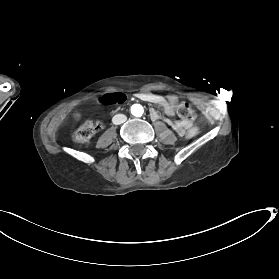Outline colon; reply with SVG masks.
<instances>
[{
  "mask_svg": "<svg viewBox=\"0 0 279 279\" xmlns=\"http://www.w3.org/2000/svg\"><path fill=\"white\" fill-rule=\"evenodd\" d=\"M126 96L122 93H108L101 98V103L105 106L119 105L126 101ZM177 114L184 120H194L196 115L194 110L187 103H179L176 107ZM101 128L99 121H86L80 124L73 132L75 142L82 143L91 139ZM200 133L198 127H193L187 133V138L192 139Z\"/></svg>",
  "mask_w": 279,
  "mask_h": 279,
  "instance_id": "colon-1",
  "label": "colon"
}]
</instances>
